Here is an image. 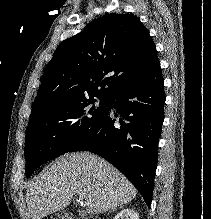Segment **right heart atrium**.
<instances>
[{"label":"right heart atrium","mask_w":211,"mask_h":219,"mask_svg":"<svg viewBox=\"0 0 211 219\" xmlns=\"http://www.w3.org/2000/svg\"><path fill=\"white\" fill-rule=\"evenodd\" d=\"M68 131H69L68 129H64L63 132H62V134H63L64 136H67V135H68Z\"/></svg>","instance_id":"obj_1"}]
</instances>
